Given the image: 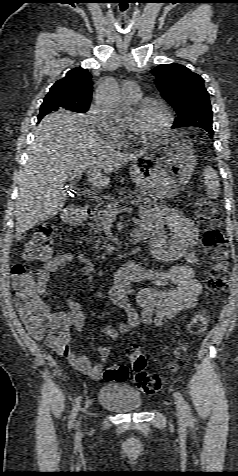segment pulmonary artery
Instances as JSON below:
<instances>
[{"label": "pulmonary artery", "instance_id": "obj_1", "mask_svg": "<svg viewBox=\"0 0 238 476\" xmlns=\"http://www.w3.org/2000/svg\"><path fill=\"white\" fill-rule=\"evenodd\" d=\"M121 94L125 101L133 103L141 97L138 84L134 81H125L121 86Z\"/></svg>", "mask_w": 238, "mask_h": 476}]
</instances>
